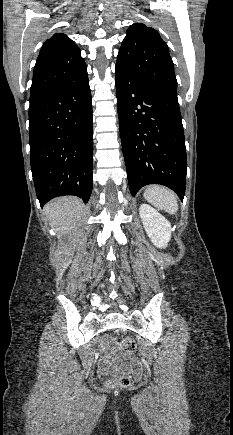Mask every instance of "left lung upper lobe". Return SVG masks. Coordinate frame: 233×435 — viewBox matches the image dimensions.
<instances>
[{"instance_id": "5c2ea615", "label": "left lung upper lobe", "mask_w": 233, "mask_h": 435, "mask_svg": "<svg viewBox=\"0 0 233 435\" xmlns=\"http://www.w3.org/2000/svg\"><path fill=\"white\" fill-rule=\"evenodd\" d=\"M126 33L116 66L143 86L177 97L174 64L159 33L142 23L131 25Z\"/></svg>"}]
</instances>
